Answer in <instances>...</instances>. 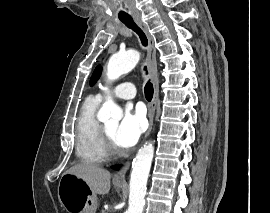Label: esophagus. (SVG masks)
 <instances>
[{
  "instance_id": "34e87169",
  "label": "esophagus",
  "mask_w": 270,
  "mask_h": 213,
  "mask_svg": "<svg viewBox=\"0 0 270 213\" xmlns=\"http://www.w3.org/2000/svg\"><path fill=\"white\" fill-rule=\"evenodd\" d=\"M134 21L143 30V32L148 38L147 64H148V68L150 72V77L154 86L153 99L148 109L149 126L145 133L144 138H146L150 134L152 126H153L155 108H156V104L159 97V79H158V70H157V62H156V48L154 44V39L149 32L148 26L138 16L134 17ZM129 166H130V160L126 161L123 164V166L115 173V175L113 176V181L124 183L125 175H126L127 170L129 169Z\"/></svg>"
}]
</instances>
